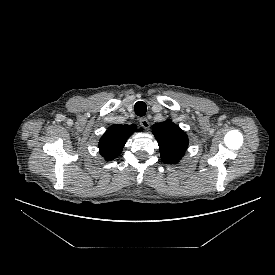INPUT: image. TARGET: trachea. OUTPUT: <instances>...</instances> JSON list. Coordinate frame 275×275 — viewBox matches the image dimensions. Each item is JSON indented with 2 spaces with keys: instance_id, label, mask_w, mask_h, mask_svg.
Returning a JSON list of instances; mask_svg holds the SVG:
<instances>
[{
  "instance_id": "obj_1",
  "label": "trachea",
  "mask_w": 275,
  "mask_h": 275,
  "mask_svg": "<svg viewBox=\"0 0 275 275\" xmlns=\"http://www.w3.org/2000/svg\"><path fill=\"white\" fill-rule=\"evenodd\" d=\"M147 106L143 101H138L134 105L135 114L139 117H143L146 114Z\"/></svg>"
}]
</instances>
